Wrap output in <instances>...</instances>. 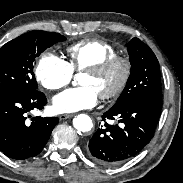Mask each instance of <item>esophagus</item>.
<instances>
[{"instance_id":"obj_1","label":"esophagus","mask_w":183,"mask_h":183,"mask_svg":"<svg viewBox=\"0 0 183 183\" xmlns=\"http://www.w3.org/2000/svg\"><path fill=\"white\" fill-rule=\"evenodd\" d=\"M71 117H73L72 114H61V115L59 116V119H60V120H65V119H68V118H71Z\"/></svg>"}]
</instances>
